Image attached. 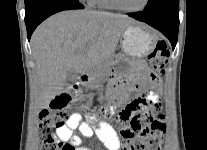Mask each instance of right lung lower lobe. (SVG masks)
Returning <instances> with one entry per match:
<instances>
[{
  "instance_id": "98d812e1",
  "label": "right lung lower lobe",
  "mask_w": 207,
  "mask_h": 150,
  "mask_svg": "<svg viewBox=\"0 0 207 150\" xmlns=\"http://www.w3.org/2000/svg\"><path fill=\"white\" fill-rule=\"evenodd\" d=\"M83 8L84 6L78 0H39L25 7L28 40L35 28L50 15L63 10Z\"/></svg>"
}]
</instances>
